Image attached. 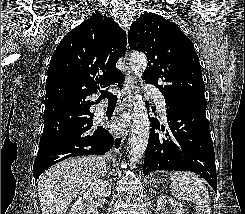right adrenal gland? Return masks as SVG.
I'll return each mask as SVG.
<instances>
[{
  "label": "right adrenal gland",
  "mask_w": 245,
  "mask_h": 214,
  "mask_svg": "<svg viewBox=\"0 0 245 214\" xmlns=\"http://www.w3.org/2000/svg\"><path fill=\"white\" fill-rule=\"evenodd\" d=\"M111 173H112V172H111L110 166L107 165V169H106L105 175L108 174V176H110Z\"/></svg>",
  "instance_id": "2a0ac1e0"
}]
</instances>
